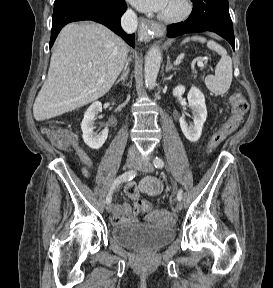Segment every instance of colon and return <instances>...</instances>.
I'll return each mask as SVG.
<instances>
[{
    "instance_id": "colon-1",
    "label": "colon",
    "mask_w": 273,
    "mask_h": 288,
    "mask_svg": "<svg viewBox=\"0 0 273 288\" xmlns=\"http://www.w3.org/2000/svg\"><path fill=\"white\" fill-rule=\"evenodd\" d=\"M232 108L230 117L212 134L208 142V150L217 148L230 134H232L243 122L248 111V102L240 92H234L229 98ZM50 141L59 148H67L74 142V136L70 132L55 126L44 130ZM142 212H149L152 209L150 203L141 201L138 203Z\"/></svg>"
}]
</instances>
